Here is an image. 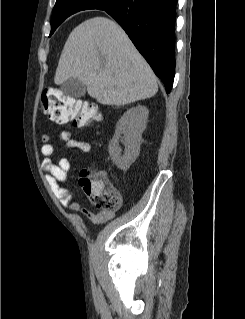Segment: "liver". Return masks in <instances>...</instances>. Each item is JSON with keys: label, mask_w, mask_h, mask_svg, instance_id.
<instances>
[{"label": "liver", "mask_w": 245, "mask_h": 319, "mask_svg": "<svg viewBox=\"0 0 245 319\" xmlns=\"http://www.w3.org/2000/svg\"><path fill=\"white\" fill-rule=\"evenodd\" d=\"M77 78L103 105H127L153 97L157 78L124 30L106 17L85 20L70 33L54 82Z\"/></svg>", "instance_id": "1"}]
</instances>
